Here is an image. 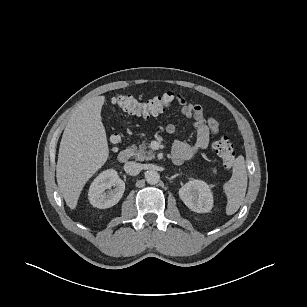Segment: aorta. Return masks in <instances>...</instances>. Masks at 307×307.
I'll use <instances>...</instances> for the list:
<instances>
[{
	"label": "aorta",
	"mask_w": 307,
	"mask_h": 307,
	"mask_svg": "<svg viewBox=\"0 0 307 307\" xmlns=\"http://www.w3.org/2000/svg\"><path fill=\"white\" fill-rule=\"evenodd\" d=\"M145 179L148 184L154 185L157 184L160 180V175L155 170H149L145 173Z\"/></svg>",
	"instance_id": "aorta-1"
}]
</instances>
